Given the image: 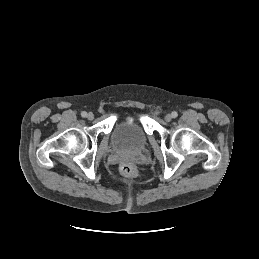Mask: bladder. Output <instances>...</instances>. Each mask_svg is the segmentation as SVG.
Returning a JSON list of instances; mask_svg holds the SVG:
<instances>
[{
	"mask_svg": "<svg viewBox=\"0 0 259 259\" xmlns=\"http://www.w3.org/2000/svg\"><path fill=\"white\" fill-rule=\"evenodd\" d=\"M111 142L115 149L138 152L147 144V134L137 118L121 119L115 125Z\"/></svg>",
	"mask_w": 259,
	"mask_h": 259,
	"instance_id": "obj_1",
	"label": "bladder"
}]
</instances>
